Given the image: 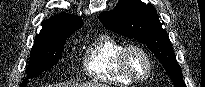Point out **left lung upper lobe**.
Segmentation results:
<instances>
[{
  "instance_id": "5c2ea615",
  "label": "left lung upper lobe",
  "mask_w": 205,
  "mask_h": 87,
  "mask_svg": "<svg viewBox=\"0 0 205 87\" xmlns=\"http://www.w3.org/2000/svg\"><path fill=\"white\" fill-rule=\"evenodd\" d=\"M99 20L115 33L146 44L163 64L174 86L186 87L168 34L151 4L141 0H119L113 10L101 13Z\"/></svg>"
}]
</instances>
